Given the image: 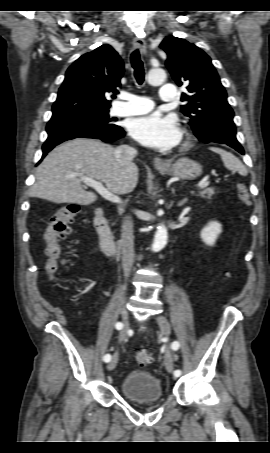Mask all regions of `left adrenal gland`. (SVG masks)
Segmentation results:
<instances>
[{
    "mask_svg": "<svg viewBox=\"0 0 270 453\" xmlns=\"http://www.w3.org/2000/svg\"><path fill=\"white\" fill-rule=\"evenodd\" d=\"M172 192H173V194H174L175 190L172 189ZM186 202H187V198H184L183 200H181V201L178 203V206H183Z\"/></svg>",
    "mask_w": 270,
    "mask_h": 453,
    "instance_id": "1",
    "label": "left adrenal gland"
}]
</instances>
